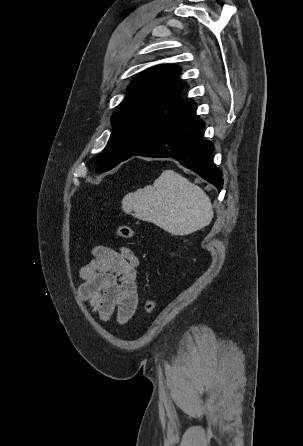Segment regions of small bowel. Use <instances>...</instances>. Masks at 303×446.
Returning <instances> with one entry per match:
<instances>
[{
	"instance_id": "c3829d8e",
	"label": "small bowel",
	"mask_w": 303,
	"mask_h": 446,
	"mask_svg": "<svg viewBox=\"0 0 303 446\" xmlns=\"http://www.w3.org/2000/svg\"><path fill=\"white\" fill-rule=\"evenodd\" d=\"M92 256L80 271V295L102 319L116 312L125 323L138 305V259L127 247L95 246Z\"/></svg>"
}]
</instances>
